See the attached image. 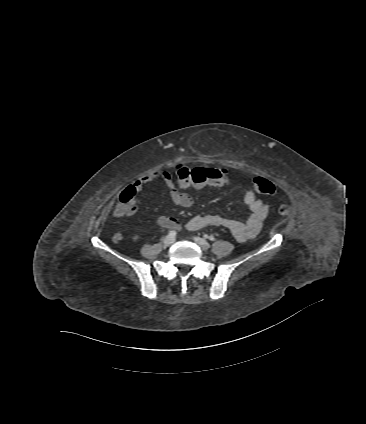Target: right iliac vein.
<instances>
[{"label": "right iliac vein", "mask_w": 366, "mask_h": 424, "mask_svg": "<svg viewBox=\"0 0 366 424\" xmlns=\"http://www.w3.org/2000/svg\"><path fill=\"white\" fill-rule=\"evenodd\" d=\"M174 241H175L174 237L168 235L164 238L163 243L165 246H170L174 243Z\"/></svg>", "instance_id": "63e3f726"}]
</instances>
